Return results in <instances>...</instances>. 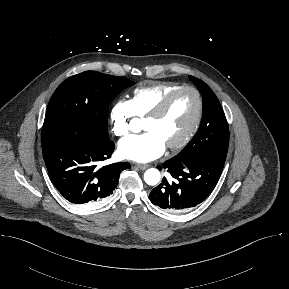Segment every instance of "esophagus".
Masks as SVG:
<instances>
[{"instance_id": "34e87169", "label": "esophagus", "mask_w": 289, "mask_h": 289, "mask_svg": "<svg viewBox=\"0 0 289 289\" xmlns=\"http://www.w3.org/2000/svg\"><path fill=\"white\" fill-rule=\"evenodd\" d=\"M135 166L141 170L147 169L149 166L146 164H135Z\"/></svg>"}]
</instances>
